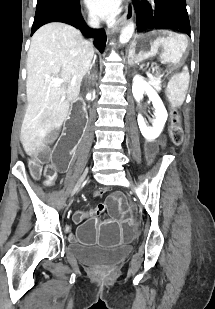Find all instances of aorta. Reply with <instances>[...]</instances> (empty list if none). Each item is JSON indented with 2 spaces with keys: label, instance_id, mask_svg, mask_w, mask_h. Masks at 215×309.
<instances>
[{
  "label": "aorta",
  "instance_id": "obj_1",
  "mask_svg": "<svg viewBox=\"0 0 215 309\" xmlns=\"http://www.w3.org/2000/svg\"><path fill=\"white\" fill-rule=\"evenodd\" d=\"M134 30H135L134 22H129V24H126V26H123V28L120 32L119 42H122V44H124V42H128V40H130Z\"/></svg>",
  "mask_w": 215,
  "mask_h": 309
}]
</instances>
